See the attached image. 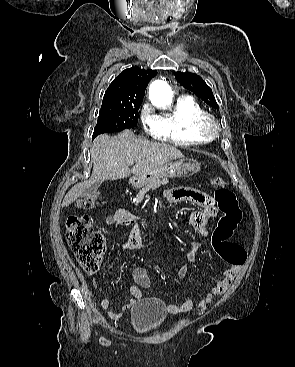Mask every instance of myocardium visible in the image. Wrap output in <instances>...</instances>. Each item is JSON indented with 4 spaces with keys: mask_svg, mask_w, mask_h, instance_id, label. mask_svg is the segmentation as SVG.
Segmentation results:
<instances>
[{
    "mask_svg": "<svg viewBox=\"0 0 295 367\" xmlns=\"http://www.w3.org/2000/svg\"><path fill=\"white\" fill-rule=\"evenodd\" d=\"M197 129L205 137L213 139L219 135L221 127L214 116L205 113L197 121Z\"/></svg>",
    "mask_w": 295,
    "mask_h": 367,
    "instance_id": "myocardium-1",
    "label": "myocardium"
}]
</instances>
